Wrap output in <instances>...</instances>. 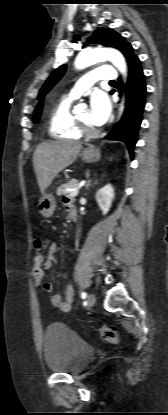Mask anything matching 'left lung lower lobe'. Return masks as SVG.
I'll return each mask as SVG.
<instances>
[{
  "instance_id": "1",
  "label": "left lung lower lobe",
  "mask_w": 168,
  "mask_h": 415,
  "mask_svg": "<svg viewBox=\"0 0 168 415\" xmlns=\"http://www.w3.org/2000/svg\"><path fill=\"white\" fill-rule=\"evenodd\" d=\"M141 62L137 56H133L128 62V82L125 89L126 103L125 111L121 121L115 126L114 130L106 136L109 140L122 141L127 145L131 158H133V148L137 142L138 130L142 121V114L145 107L146 83ZM119 82V90L121 92ZM114 93V90L110 92Z\"/></svg>"
}]
</instances>
